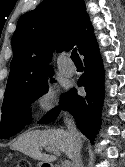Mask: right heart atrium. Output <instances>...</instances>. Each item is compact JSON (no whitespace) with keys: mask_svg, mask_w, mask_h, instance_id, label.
<instances>
[{"mask_svg":"<svg viewBox=\"0 0 125 167\" xmlns=\"http://www.w3.org/2000/svg\"><path fill=\"white\" fill-rule=\"evenodd\" d=\"M34 107L41 115H47L58 109V93L54 85L47 84L34 99Z\"/></svg>","mask_w":125,"mask_h":167,"instance_id":"1","label":"right heart atrium"}]
</instances>
